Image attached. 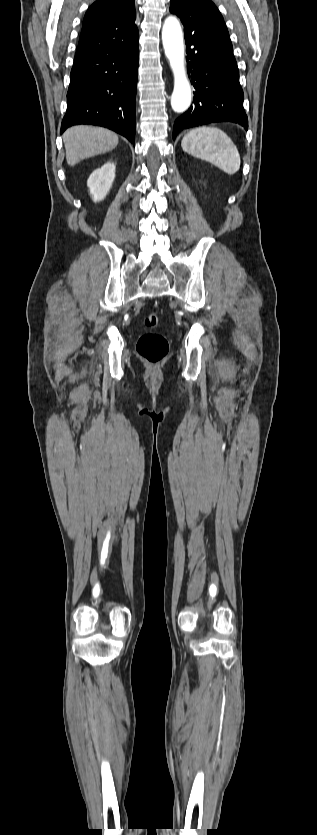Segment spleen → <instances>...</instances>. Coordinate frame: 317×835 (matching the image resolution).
<instances>
[{
	"mask_svg": "<svg viewBox=\"0 0 317 835\" xmlns=\"http://www.w3.org/2000/svg\"><path fill=\"white\" fill-rule=\"evenodd\" d=\"M181 147L188 154L206 160L228 175L235 174L240 168L241 159L237 147L219 128H194L183 137Z\"/></svg>",
	"mask_w": 317,
	"mask_h": 835,
	"instance_id": "1",
	"label": "spleen"
}]
</instances>
